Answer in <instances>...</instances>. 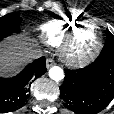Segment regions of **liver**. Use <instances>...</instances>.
<instances>
[{"label": "liver", "mask_w": 114, "mask_h": 114, "mask_svg": "<svg viewBox=\"0 0 114 114\" xmlns=\"http://www.w3.org/2000/svg\"><path fill=\"white\" fill-rule=\"evenodd\" d=\"M31 43L23 36H12L0 44V75L13 74L28 61Z\"/></svg>", "instance_id": "6515ba94"}]
</instances>
